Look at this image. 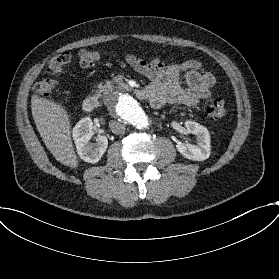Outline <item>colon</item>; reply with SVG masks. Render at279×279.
<instances>
[{
	"label": "colon",
	"instance_id": "obj_1",
	"mask_svg": "<svg viewBox=\"0 0 279 279\" xmlns=\"http://www.w3.org/2000/svg\"><path fill=\"white\" fill-rule=\"evenodd\" d=\"M102 58V52L94 49H83L79 52V66L86 68L99 61ZM70 61V54L61 52L52 56L46 65V72L49 75H56L63 70V67ZM57 88V81L53 79H44L38 83L34 92L42 97H48ZM226 103L222 100H212L207 106V113L211 118L220 119L227 115Z\"/></svg>",
	"mask_w": 279,
	"mask_h": 279
}]
</instances>
